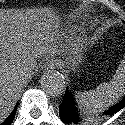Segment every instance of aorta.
<instances>
[{"label":"aorta","mask_w":125,"mask_h":125,"mask_svg":"<svg viewBox=\"0 0 125 125\" xmlns=\"http://www.w3.org/2000/svg\"><path fill=\"white\" fill-rule=\"evenodd\" d=\"M41 86L47 95L59 97L65 92V82L63 78L56 73H45L41 78Z\"/></svg>","instance_id":"aorta-1"}]
</instances>
